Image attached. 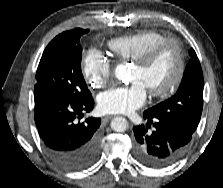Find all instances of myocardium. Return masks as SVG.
I'll use <instances>...</instances> for the list:
<instances>
[{
	"label": "myocardium",
	"instance_id": "f54148a6",
	"mask_svg": "<svg viewBox=\"0 0 223 188\" xmlns=\"http://www.w3.org/2000/svg\"><path fill=\"white\" fill-rule=\"evenodd\" d=\"M169 47L173 48L176 52V71L171 81L164 88L149 90L150 96L154 98L167 97L173 94L181 84L186 72L185 52L182 45L175 39H165L162 42L150 47L139 58L133 60L134 66L142 69L146 68L163 50Z\"/></svg>",
	"mask_w": 223,
	"mask_h": 188
}]
</instances>
